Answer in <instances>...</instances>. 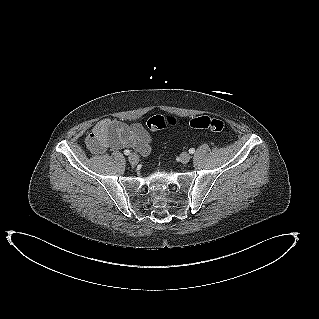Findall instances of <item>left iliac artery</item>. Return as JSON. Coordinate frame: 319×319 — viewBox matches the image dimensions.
<instances>
[{"label": "left iliac artery", "instance_id": "obj_1", "mask_svg": "<svg viewBox=\"0 0 319 319\" xmlns=\"http://www.w3.org/2000/svg\"><path fill=\"white\" fill-rule=\"evenodd\" d=\"M194 152H195V149H194V148H190V149H189V153H190V154H193Z\"/></svg>", "mask_w": 319, "mask_h": 319}]
</instances>
